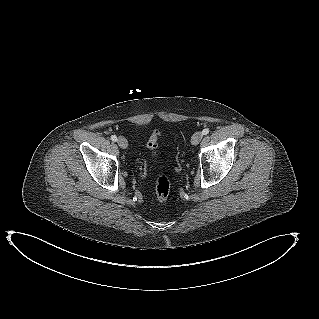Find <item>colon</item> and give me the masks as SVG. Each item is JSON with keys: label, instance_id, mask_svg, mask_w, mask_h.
Returning a JSON list of instances; mask_svg holds the SVG:
<instances>
[{"label": "colon", "instance_id": "obj_1", "mask_svg": "<svg viewBox=\"0 0 319 319\" xmlns=\"http://www.w3.org/2000/svg\"><path fill=\"white\" fill-rule=\"evenodd\" d=\"M160 132L158 130H154L151 133V136L147 142V148L152 152L154 157L159 156L158 151V139H159ZM171 190V179L170 177L161 172L157 175L155 181V193L159 200L164 201L168 198Z\"/></svg>", "mask_w": 319, "mask_h": 319}]
</instances>
